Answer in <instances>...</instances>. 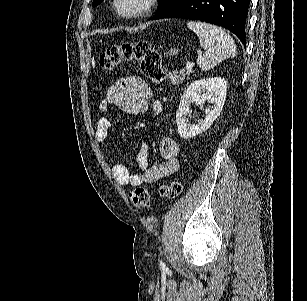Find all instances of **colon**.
<instances>
[{"mask_svg":"<svg viewBox=\"0 0 307 301\" xmlns=\"http://www.w3.org/2000/svg\"><path fill=\"white\" fill-rule=\"evenodd\" d=\"M136 61L142 73L154 84L160 83L164 78L160 54L147 40L124 41L106 48L100 55L99 68L110 71L122 62ZM164 198L173 199L181 195L183 185L179 181L160 185L155 190ZM152 190L147 187L137 186L130 192L132 203L138 209H145L150 204Z\"/></svg>","mask_w":307,"mask_h":301,"instance_id":"5ec220e1","label":"colon"}]
</instances>
